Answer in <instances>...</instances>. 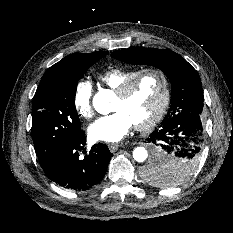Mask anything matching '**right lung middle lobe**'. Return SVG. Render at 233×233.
Returning a JSON list of instances; mask_svg holds the SVG:
<instances>
[{
    "instance_id": "obj_1",
    "label": "right lung middle lobe",
    "mask_w": 233,
    "mask_h": 233,
    "mask_svg": "<svg viewBox=\"0 0 233 233\" xmlns=\"http://www.w3.org/2000/svg\"><path fill=\"white\" fill-rule=\"evenodd\" d=\"M107 52H97L76 66L42 79L32 103V139L40 165L54 160L81 132L75 108L78 80Z\"/></svg>"
}]
</instances>
